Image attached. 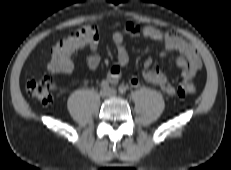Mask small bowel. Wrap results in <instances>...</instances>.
Here are the masks:
<instances>
[{
  "label": "small bowel",
  "mask_w": 231,
  "mask_h": 170,
  "mask_svg": "<svg viewBox=\"0 0 231 170\" xmlns=\"http://www.w3.org/2000/svg\"><path fill=\"white\" fill-rule=\"evenodd\" d=\"M143 37L162 43L163 48L161 55L167 56L171 52L177 51L180 57L176 60V67L181 70L184 79H192L202 67V62L196 48L181 38L174 32H164L155 27H141L135 23L127 22L123 25L122 30L115 31L112 35V42L116 48L117 61L109 69L107 80L116 84L121 78V69L129 62V53L125 45V37ZM98 39L89 43L90 52L87 55V65L95 69L98 67L102 55L98 50ZM143 78L156 86L165 93L172 95L175 93L174 86L169 82L167 77L158 69L152 66L151 60L145 62L142 72ZM130 84L134 87L139 85L137 78L132 77Z\"/></svg>",
  "instance_id": "obj_1"
}]
</instances>
